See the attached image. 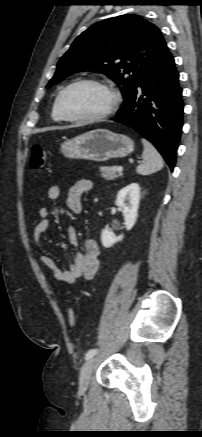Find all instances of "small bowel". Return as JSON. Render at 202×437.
<instances>
[{
	"label": "small bowel",
	"instance_id": "c3829d8e",
	"mask_svg": "<svg viewBox=\"0 0 202 437\" xmlns=\"http://www.w3.org/2000/svg\"><path fill=\"white\" fill-rule=\"evenodd\" d=\"M92 183L88 179H81L76 182L68 191L66 205L73 214H80L83 209L82 196L89 192ZM59 186H51L47 196L51 201L60 197ZM40 221L33 232V240L38 248L42 247L43 235L50 229V210L47 207L39 209ZM68 239L72 246H77V231L74 226L68 228ZM100 247L93 239L84 242V251L76 252L73 263L69 268H61L48 254L40 256L39 261L42 267L51 272L54 279L65 284H74L79 278L92 279L100 267Z\"/></svg>",
	"mask_w": 202,
	"mask_h": 437
}]
</instances>
